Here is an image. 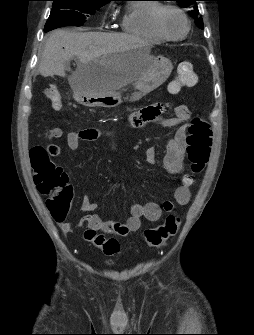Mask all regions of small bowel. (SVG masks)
<instances>
[{"mask_svg": "<svg viewBox=\"0 0 254 335\" xmlns=\"http://www.w3.org/2000/svg\"><path fill=\"white\" fill-rule=\"evenodd\" d=\"M172 110L175 113L173 117H164L162 116L164 105L153 104L133 112L130 116V122L135 127L142 126L145 123H155L161 127L177 128L174 138L167 143L163 166L170 174L180 175L181 184L175 191L174 200L178 205H186L190 201V186L192 184V178L183 173L186 149V127L190 118V110L184 104H173ZM62 135V129L54 127L50 130L48 137L50 139H59ZM100 137H102V133L97 129L72 131L67 135V145L70 150L75 151L79 148L81 142L94 141ZM53 148H58V146L55 144H49L47 146L48 150H52ZM111 148L113 151H117L118 149L113 135L111 136ZM145 157L147 163L154 164L156 162V149L154 147H148L145 151ZM69 189L71 188L69 187ZM81 208L83 211L89 212V214L80 220L77 227L87 225L89 229L96 232L101 231L106 234L127 236L140 229L142 218L150 222H156L160 219L164 211L172 210L173 203L171 201H165L162 205L154 202H149L144 205L134 203L130 207V216L124 223L116 220H103L100 215L93 213L98 209V204L93 202L88 195L83 197ZM52 216L63 233L68 234L74 231L73 225L66 220V215L52 214Z\"/></svg>", "mask_w": 254, "mask_h": 335, "instance_id": "small-bowel-1", "label": "small bowel"}]
</instances>
